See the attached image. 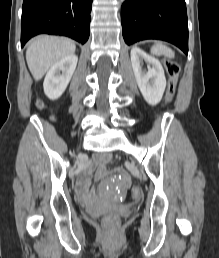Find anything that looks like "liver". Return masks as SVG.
<instances>
[{"label": "liver", "instance_id": "liver-1", "mask_svg": "<svg viewBox=\"0 0 219 258\" xmlns=\"http://www.w3.org/2000/svg\"><path fill=\"white\" fill-rule=\"evenodd\" d=\"M75 43L67 38L40 35L34 38L26 51V61L35 81H39L55 63L73 55Z\"/></svg>", "mask_w": 219, "mask_h": 258}]
</instances>
